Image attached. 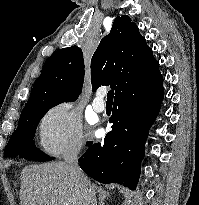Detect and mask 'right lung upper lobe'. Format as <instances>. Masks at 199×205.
Masks as SVG:
<instances>
[{
  "label": "right lung upper lobe",
  "mask_w": 199,
  "mask_h": 205,
  "mask_svg": "<svg viewBox=\"0 0 199 205\" xmlns=\"http://www.w3.org/2000/svg\"><path fill=\"white\" fill-rule=\"evenodd\" d=\"M158 69L159 63L136 24L129 16H118L91 59L92 88L95 91L101 85H110L116 96L134 80ZM84 73L81 48L59 49L46 60L27 103L76 100L82 90Z\"/></svg>",
  "instance_id": "1"
}]
</instances>
